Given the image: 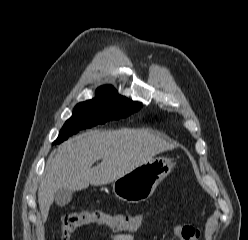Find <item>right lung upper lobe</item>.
Returning a JSON list of instances; mask_svg holds the SVG:
<instances>
[{
  "label": "right lung upper lobe",
  "instance_id": "cb5924a9",
  "mask_svg": "<svg viewBox=\"0 0 248 240\" xmlns=\"http://www.w3.org/2000/svg\"><path fill=\"white\" fill-rule=\"evenodd\" d=\"M98 90L109 92V91H114L115 89L112 86L108 85V86H101L100 88H98Z\"/></svg>",
  "mask_w": 248,
  "mask_h": 240
}]
</instances>
